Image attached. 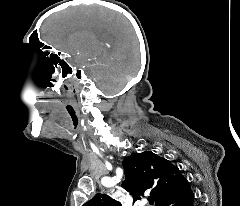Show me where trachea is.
Here are the masks:
<instances>
[{
	"instance_id": "1",
	"label": "trachea",
	"mask_w": 240,
	"mask_h": 206,
	"mask_svg": "<svg viewBox=\"0 0 240 206\" xmlns=\"http://www.w3.org/2000/svg\"><path fill=\"white\" fill-rule=\"evenodd\" d=\"M149 203H150L151 205H153V203H154V198L150 197V198H149Z\"/></svg>"
}]
</instances>
